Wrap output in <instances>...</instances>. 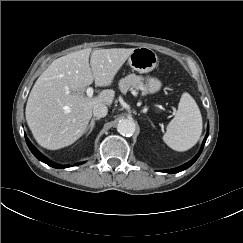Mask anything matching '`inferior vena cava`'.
<instances>
[{
    "mask_svg": "<svg viewBox=\"0 0 243 243\" xmlns=\"http://www.w3.org/2000/svg\"><path fill=\"white\" fill-rule=\"evenodd\" d=\"M108 113V108L106 105L104 104H97L96 106H94L93 108V114L94 116H96L97 118H102L105 117Z\"/></svg>",
    "mask_w": 243,
    "mask_h": 243,
    "instance_id": "obj_1",
    "label": "inferior vena cava"
}]
</instances>
